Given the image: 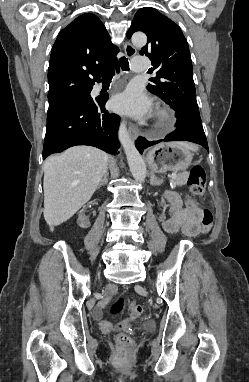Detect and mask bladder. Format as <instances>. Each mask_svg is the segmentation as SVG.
Instances as JSON below:
<instances>
[{"mask_svg":"<svg viewBox=\"0 0 249 382\" xmlns=\"http://www.w3.org/2000/svg\"><path fill=\"white\" fill-rule=\"evenodd\" d=\"M130 325H140L144 329H151L152 328V323L150 321H130Z\"/></svg>","mask_w":249,"mask_h":382,"instance_id":"1","label":"bladder"}]
</instances>
